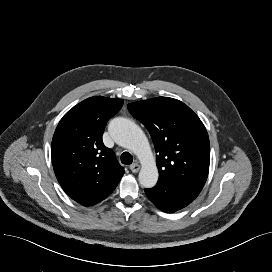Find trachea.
I'll return each mask as SVG.
<instances>
[{"instance_id": "trachea-1", "label": "trachea", "mask_w": 272, "mask_h": 272, "mask_svg": "<svg viewBox=\"0 0 272 272\" xmlns=\"http://www.w3.org/2000/svg\"><path fill=\"white\" fill-rule=\"evenodd\" d=\"M121 162L123 164H126V165H129V164H132L133 162V157L130 153L128 152H124L122 155H121Z\"/></svg>"}]
</instances>
